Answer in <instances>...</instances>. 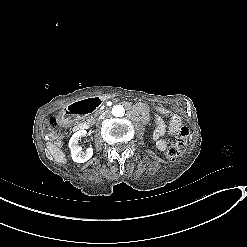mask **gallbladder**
Here are the masks:
<instances>
[{"label": "gallbladder", "instance_id": "obj_1", "mask_svg": "<svg viewBox=\"0 0 247 247\" xmlns=\"http://www.w3.org/2000/svg\"><path fill=\"white\" fill-rule=\"evenodd\" d=\"M47 123H50V119H47ZM50 132H53V129H50Z\"/></svg>", "mask_w": 247, "mask_h": 247}]
</instances>
